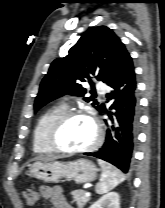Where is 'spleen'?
<instances>
[{
  "label": "spleen",
  "instance_id": "1",
  "mask_svg": "<svg viewBox=\"0 0 165 208\" xmlns=\"http://www.w3.org/2000/svg\"><path fill=\"white\" fill-rule=\"evenodd\" d=\"M98 164L102 168L100 182L96 187V192L98 194L107 193L124 181V175L113 165L100 159L98 160Z\"/></svg>",
  "mask_w": 165,
  "mask_h": 208
}]
</instances>
